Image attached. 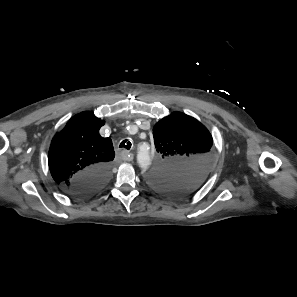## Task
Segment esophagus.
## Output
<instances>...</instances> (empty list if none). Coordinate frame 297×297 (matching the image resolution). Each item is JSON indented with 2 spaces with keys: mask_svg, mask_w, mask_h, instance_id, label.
Segmentation results:
<instances>
[{
  "mask_svg": "<svg viewBox=\"0 0 297 297\" xmlns=\"http://www.w3.org/2000/svg\"><path fill=\"white\" fill-rule=\"evenodd\" d=\"M121 157L124 161H132L133 160V154L129 153L127 150L121 151Z\"/></svg>",
  "mask_w": 297,
  "mask_h": 297,
  "instance_id": "1",
  "label": "esophagus"
}]
</instances>
